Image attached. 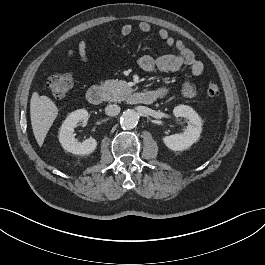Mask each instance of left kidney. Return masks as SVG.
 Here are the masks:
<instances>
[{
  "instance_id": "left-kidney-1",
  "label": "left kidney",
  "mask_w": 265,
  "mask_h": 265,
  "mask_svg": "<svg viewBox=\"0 0 265 265\" xmlns=\"http://www.w3.org/2000/svg\"><path fill=\"white\" fill-rule=\"evenodd\" d=\"M175 117H183L188 120L187 130L183 133L165 136L164 144L173 151H182L189 148L199 140L202 132V121L199 115L187 105H179L173 109Z\"/></svg>"
}]
</instances>
